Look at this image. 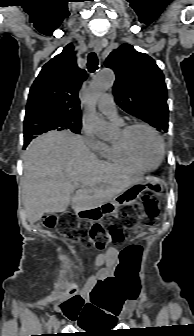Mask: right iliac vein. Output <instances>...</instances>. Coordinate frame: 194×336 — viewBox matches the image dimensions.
<instances>
[{
  "label": "right iliac vein",
  "instance_id": "obj_1",
  "mask_svg": "<svg viewBox=\"0 0 194 336\" xmlns=\"http://www.w3.org/2000/svg\"><path fill=\"white\" fill-rule=\"evenodd\" d=\"M53 327L54 330H58L60 328V322L55 319V321L53 322Z\"/></svg>",
  "mask_w": 194,
  "mask_h": 336
}]
</instances>
